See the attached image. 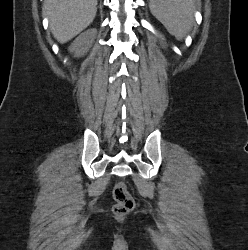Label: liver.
Returning a JSON list of instances; mask_svg holds the SVG:
<instances>
[{
	"label": "liver",
	"instance_id": "obj_1",
	"mask_svg": "<svg viewBox=\"0 0 248 250\" xmlns=\"http://www.w3.org/2000/svg\"><path fill=\"white\" fill-rule=\"evenodd\" d=\"M97 0H45L53 36L66 43L87 28L95 18Z\"/></svg>",
	"mask_w": 248,
	"mask_h": 250
}]
</instances>
